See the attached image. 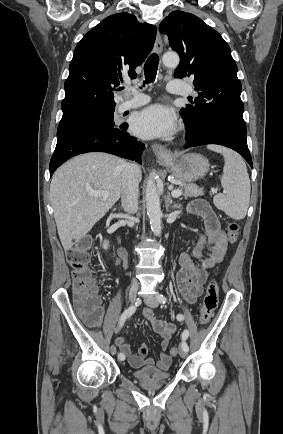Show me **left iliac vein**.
<instances>
[{
    "label": "left iliac vein",
    "mask_w": 283,
    "mask_h": 434,
    "mask_svg": "<svg viewBox=\"0 0 283 434\" xmlns=\"http://www.w3.org/2000/svg\"><path fill=\"white\" fill-rule=\"evenodd\" d=\"M144 302L146 303V305H148L151 308H156L159 305L158 300H156L154 297H151V296L145 297ZM180 356L182 358H186L187 357V351L181 350Z\"/></svg>",
    "instance_id": "1"
}]
</instances>
